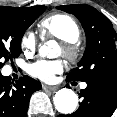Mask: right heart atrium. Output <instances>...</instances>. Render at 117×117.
I'll return each mask as SVG.
<instances>
[{
	"label": "right heart atrium",
	"mask_w": 117,
	"mask_h": 117,
	"mask_svg": "<svg viewBox=\"0 0 117 117\" xmlns=\"http://www.w3.org/2000/svg\"><path fill=\"white\" fill-rule=\"evenodd\" d=\"M20 45L25 52L32 53L37 46L35 34L32 31H26L20 39Z\"/></svg>",
	"instance_id": "obj_1"
}]
</instances>
